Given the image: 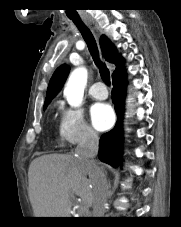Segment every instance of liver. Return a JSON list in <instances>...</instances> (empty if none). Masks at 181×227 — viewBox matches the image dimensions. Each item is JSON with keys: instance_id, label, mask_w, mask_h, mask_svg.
<instances>
[{"instance_id": "obj_1", "label": "liver", "mask_w": 181, "mask_h": 227, "mask_svg": "<svg viewBox=\"0 0 181 227\" xmlns=\"http://www.w3.org/2000/svg\"><path fill=\"white\" fill-rule=\"evenodd\" d=\"M29 198L36 217H70L74 196L93 204V169L72 154H48L29 167Z\"/></svg>"}]
</instances>
